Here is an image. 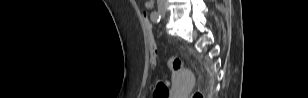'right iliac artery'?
<instances>
[{
	"mask_svg": "<svg viewBox=\"0 0 308 98\" xmlns=\"http://www.w3.org/2000/svg\"><path fill=\"white\" fill-rule=\"evenodd\" d=\"M150 18L154 23H158L161 19V14L157 11H153L150 15Z\"/></svg>",
	"mask_w": 308,
	"mask_h": 98,
	"instance_id": "1",
	"label": "right iliac artery"
}]
</instances>
